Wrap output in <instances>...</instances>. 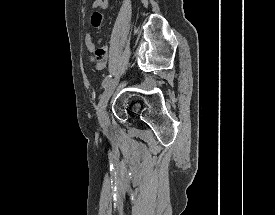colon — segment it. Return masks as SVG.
<instances>
[{"label":"colon","mask_w":275,"mask_h":215,"mask_svg":"<svg viewBox=\"0 0 275 215\" xmlns=\"http://www.w3.org/2000/svg\"><path fill=\"white\" fill-rule=\"evenodd\" d=\"M101 15L99 13H94L91 18V25L95 28H98L101 24ZM96 56L101 60L105 61V50L104 49H97L95 50Z\"/></svg>","instance_id":"5ec220e1"}]
</instances>
